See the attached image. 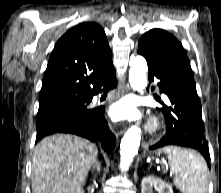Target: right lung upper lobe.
<instances>
[{
    "label": "right lung upper lobe",
    "instance_id": "right-lung-upper-lobe-1",
    "mask_svg": "<svg viewBox=\"0 0 221 193\" xmlns=\"http://www.w3.org/2000/svg\"><path fill=\"white\" fill-rule=\"evenodd\" d=\"M114 70L105 32L95 22L68 30L56 43L44 74L39 103L61 98H90Z\"/></svg>",
    "mask_w": 221,
    "mask_h": 193
}]
</instances>
